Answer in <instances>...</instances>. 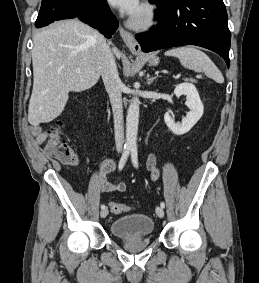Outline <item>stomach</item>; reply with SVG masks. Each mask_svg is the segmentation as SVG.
Listing matches in <instances>:
<instances>
[{
  "mask_svg": "<svg viewBox=\"0 0 259 283\" xmlns=\"http://www.w3.org/2000/svg\"><path fill=\"white\" fill-rule=\"evenodd\" d=\"M148 61L151 65L156 66L159 63V58L158 57H149Z\"/></svg>",
  "mask_w": 259,
  "mask_h": 283,
  "instance_id": "stomach-1",
  "label": "stomach"
}]
</instances>
